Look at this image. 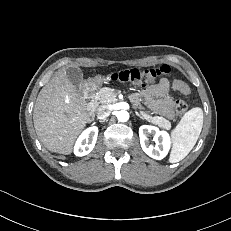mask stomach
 <instances>
[{
	"instance_id": "1",
	"label": "stomach",
	"mask_w": 231,
	"mask_h": 231,
	"mask_svg": "<svg viewBox=\"0 0 231 231\" xmlns=\"http://www.w3.org/2000/svg\"><path fill=\"white\" fill-rule=\"evenodd\" d=\"M105 81H107V78L101 75H96L92 78L87 79L86 84L91 88H96Z\"/></svg>"
}]
</instances>
